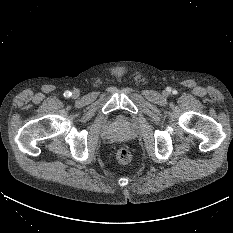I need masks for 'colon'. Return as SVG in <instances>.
I'll use <instances>...</instances> for the list:
<instances>
[{
  "label": "colon",
  "instance_id": "colon-1",
  "mask_svg": "<svg viewBox=\"0 0 233 233\" xmlns=\"http://www.w3.org/2000/svg\"><path fill=\"white\" fill-rule=\"evenodd\" d=\"M116 159L121 164H128L132 159L131 152L127 148H120L116 153Z\"/></svg>",
  "mask_w": 233,
  "mask_h": 233
}]
</instances>
